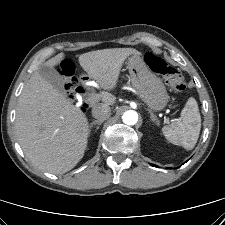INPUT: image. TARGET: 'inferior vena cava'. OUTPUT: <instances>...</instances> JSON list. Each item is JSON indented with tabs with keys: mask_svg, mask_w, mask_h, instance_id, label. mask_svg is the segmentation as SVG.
I'll use <instances>...</instances> for the list:
<instances>
[{
	"mask_svg": "<svg viewBox=\"0 0 225 225\" xmlns=\"http://www.w3.org/2000/svg\"><path fill=\"white\" fill-rule=\"evenodd\" d=\"M92 115L98 120H105L111 115V108L106 104H98L92 108Z\"/></svg>",
	"mask_w": 225,
	"mask_h": 225,
	"instance_id": "inferior-vena-cava-1",
	"label": "inferior vena cava"
}]
</instances>
